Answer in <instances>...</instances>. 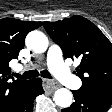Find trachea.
<instances>
[{
    "label": "trachea",
    "instance_id": "1",
    "mask_svg": "<svg viewBox=\"0 0 112 112\" xmlns=\"http://www.w3.org/2000/svg\"><path fill=\"white\" fill-rule=\"evenodd\" d=\"M39 75L40 74L37 70H31V71L24 72L22 75L18 73H14L15 77L21 78V79H31V78L38 77ZM41 76L44 78H49V79L52 78L51 74L47 70L41 71Z\"/></svg>",
    "mask_w": 112,
    "mask_h": 112
}]
</instances>
